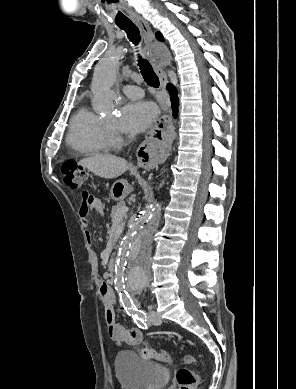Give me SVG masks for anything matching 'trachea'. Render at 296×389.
Listing matches in <instances>:
<instances>
[{"mask_svg":"<svg viewBox=\"0 0 296 389\" xmlns=\"http://www.w3.org/2000/svg\"><path fill=\"white\" fill-rule=\"evenodd\" d=\"M119 28H121L122 30H124L128 36V39L135 45H138L140 40H141V36H140V32H139V29L138 27L133 23V22H127V23H124V24H120L118 25ZM138 66L140 67V70H141V74L144 78V81L149 85V86H152L154 88H158L159 87V78L158 76L155 74L151 64L144 58H142L141 56H138Z\"/></svg>","mask_w":296,"mask_h":389,"instance_id":"obj_1","label":"trachea"}]
</instances>
